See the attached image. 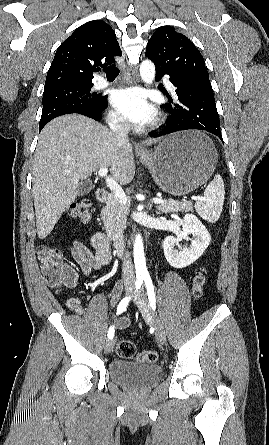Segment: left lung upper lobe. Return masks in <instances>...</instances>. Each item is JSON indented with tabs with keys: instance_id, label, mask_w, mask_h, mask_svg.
<instances>
[{
	"instance_id": "left-lung-upper-lobe-1",
	"label": "left lung upper lobe",
	"mask_w": 269,
	"mask_h": 445,
	"mask_svg": "<svg viewBox=\"0 0 269 445\" xmlns=\"http://www.w3.org/2000/svg\"><path fill=\"white\" fill-rule=\"evenodd\" d=\"M146 56L157 70L170 76L208 77L204 59L195 45L174 27H159L147 43Z\"/></svg>"
}]
</instances>
